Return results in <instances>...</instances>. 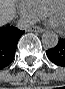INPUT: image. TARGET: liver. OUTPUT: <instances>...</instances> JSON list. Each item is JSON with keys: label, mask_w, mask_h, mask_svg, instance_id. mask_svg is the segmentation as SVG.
<instances>
[{"label": "liver", "mask_w": 65, "mask_h": 89, "mask_svg": "<svg viewBox=\"0 0 65 89\" xmlns=\"http://www.w3.org/2000/svg\"><path fill=\"white\" fill-rule=\"evenodd\" d=\"M14 18V3L11 0H0V23L2 25Z\"/></svg>", "instance_id": "6515ba94"}]
</instances>
